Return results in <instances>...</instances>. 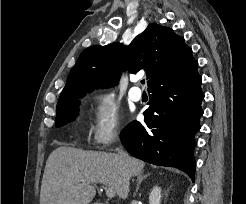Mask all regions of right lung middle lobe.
I'll list each match as a JSON object with an SVG mask.
<instances>
[{
	"instance_id": "right-lung-middle-lobe-1",
	"label": "right lung middle lobe",
	"mask_w": 246,
	"mask_h": 204,
	"mask_svg": "<svg viewBox=\"0 0 246 204\" xmlns=\"http://www.w3.org/2000/svg\"><path fill=\"white\" fill-rule=\"evenodd\" d=\"M83 95L66 97L58 101L56 107V126L60 127L75 120L78 115V99Z\"/></svg>"
}]
</instances>
